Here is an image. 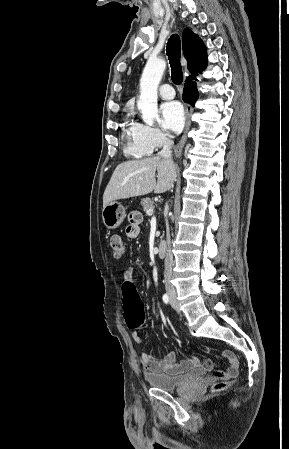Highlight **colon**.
<instances>
[{"label":"colon","mask_w":289,"mask_h":449,"mask_svg":"<svg viewBox=\"0 0 289 449\" xmlns=\"http://www.w3.org/2000/svg\"><path fill=\"white\" fill-rule=\"evenodd\" d=\"M110 246L112 254L116 258L122 257L127 251V243L118 235H114L110 239ZM122 289V305L126 310V322L130 328H140L144 325V312L142 303L139 301V296L136 290L135 282L126 280L121 284ZM228 382L225 379L217 382L213 389L218 391L227 386Z\"/></svg>","instance_id":"obj_1"}]
</instances>
